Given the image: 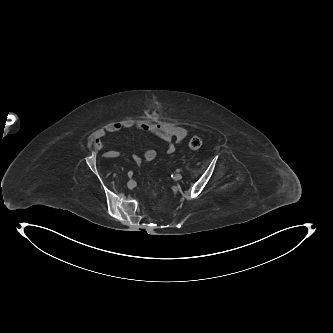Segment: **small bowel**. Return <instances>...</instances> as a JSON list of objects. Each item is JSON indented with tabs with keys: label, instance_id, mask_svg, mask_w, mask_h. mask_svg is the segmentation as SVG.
I'll use <instances>...</instances> for the list:
<instances>
[{
	"label": "small bowel",
	"instance_id": "small-bowel-1",
	"mask_svg": "<svg viewBox=\"0 0 333 333\" xmlns=\"http://www.w3.org/2000/svg\"><path fill=\"white\" fill-rule=\"evenodd\" d=\"M137 128L139 130L154 134L160 137L166 144V152L173 153L176 149L175 142H182L188 135L187 129L167 122H149L144 120H123L112 122L105 128L98 130L93 139V147L95 150H102L105 148L104 137L106 134L117 133L122 129ZM157 155L153 148H147L142 155L134 153L132 155L133 161L138 165L152 161ZM119 156V151L108 150L103 154L104 158L113 159Z\"/></svg>",
	"mask_w": 333,
	"mask_h": 333
}]
</instances>
